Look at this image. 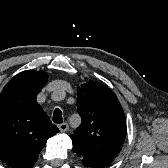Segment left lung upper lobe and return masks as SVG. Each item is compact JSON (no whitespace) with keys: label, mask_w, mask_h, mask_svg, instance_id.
Listing matches in <instances>:
<instances>
[{"label":"left lung upper lobe","mask_w":168,"mask_h":168,"mask_svg":"<svg viewBox=\"0 0 168 168\" xmlns=\"http://www.w3.org/2000/svg\"><path fill=\"white\" fill-rule=\"evenodd\" d=\"M81 125L70 137L82 163L103 168L119 154L126 137V119L115 94L105 85L89 81L77 89Z\"/></svg>","instance_id":"left-lung-upper-lobe-1"}]
</instances>
